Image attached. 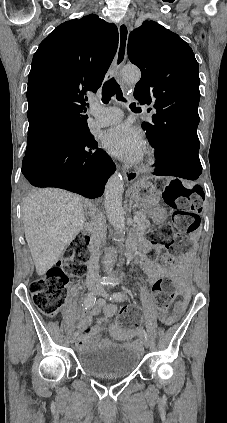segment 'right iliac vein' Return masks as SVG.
I'll return each mask as SVG.
<instances>
[{
	"mask_svg": "<svg viewBox=\"0 0 227 423\" xmlns=\"http://www.w3.org/2000/svg\"><path fill=\"white\" fill-rule=\"evenodd\" d=\"M89 290H90V292H92V293H94V294H98V289H96V288H89ZM75 335H72L71 337H70V342L71 343H74V341H75Z\"/></svg>",
	"mask_w": 227,
	"mask_h": 423,
	"instance_id": "right-iliac-vein-1",
	"label": "right iliac vein"
}]
</instances>
